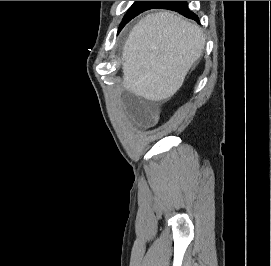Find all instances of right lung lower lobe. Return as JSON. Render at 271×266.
Instances as JSON below:
<instances>
[{"instance_id":"1","label":"right lung lower lobe","mask_w":271,"mask_h":266,"mask_svg":"<svg viewBox=\"0 0 271 266\" xmlns=\"http://www.w3.org/2000/svg\"><path fill=\"white\" fill-rule=\"evenodd\" d=\"M153 8L174 10L184 15L187 18H190L199 22L198 16L189 10L187 6V1H160Z\"/></svg>"}]
</instances>
